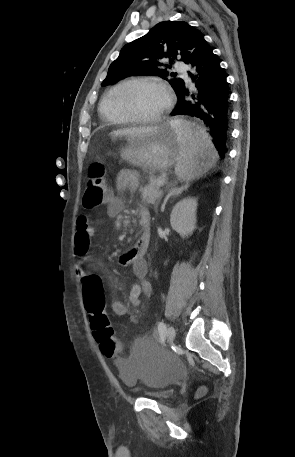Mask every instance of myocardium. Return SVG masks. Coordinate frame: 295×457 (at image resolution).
<instances>
[{
  "label": "myocardium",
  "instance_id": "f54148a6",
  "mask_svg": "<svg viewBox=\"0 0 295 457\" xmlns=\"http://www.w3.org/2000/svg\"><path fill=\"white\" fill-rule=\"evenodd\" d=\"M143 86H158L162 88L167 95V102L164 109L157 115L152 117H142L134 112L130 104L131 94L138 88ZM117 104L120 111L127 116L132 122L136 123H155L160 121L170 110L172 105V96L168 87L153 79H136L126 83L117 94Z\"/></svg>",
  "mask_w": 295,
  "mask_h": 457
}]
</instances>
